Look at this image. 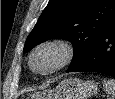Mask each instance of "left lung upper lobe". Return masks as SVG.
<instances>
[{
    "mask_svg": "<svg viewBox=\"0 0 115 99\" xmlns=\"http://www.w3.org/2000/svg\"><path fill=\"white\" fill-rule=\"evenodd\" d=\"M114 22L115 0H49L23 52L48 39H66L74 47L71 69Z\"/></svg>",
    "mask_w": 115,
    "mask_h": 99,
    "instance_id": "5c2ea615",
    "label": "left lung upper lobe"
}]
</instances>
